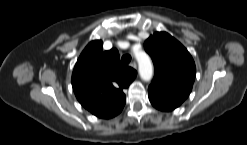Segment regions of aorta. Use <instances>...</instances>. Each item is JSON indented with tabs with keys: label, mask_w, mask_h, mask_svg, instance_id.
Returning <instances> with one entry per match:
<instances>
[{
	"label": "aorta",
	"mask_w": 247,
	"mask_h": 145,
	"mask_svg": "<svg viewBox=\"0 0 247 145\" xmlns=\"http://www.w3.org/2000/svg\"><path fill=\"white\" fill-rule=\"evenodd\" d=\"M136 59L139 65V74L142 80L149 81L153 76V65L150 57L144 52H136Z\"/></svg>",
	"instance_id": "obj_1"
}]
</instances>
